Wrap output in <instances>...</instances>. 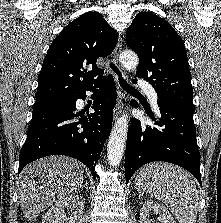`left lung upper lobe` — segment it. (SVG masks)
Wrapping results in <instances>:
<instances>
[{
    "label": "left lung upper lobe",
    "instance_id": "left-lung-upper-lobe-1",
    "mask_svg": "<svg viewBox=\"0 0 221 223\" xmlns=\"http://www.w3.org/2000/svg\"><path fill=\"white\" fill-rule=\"evenodd\" d=\"M126 44L139 57L136 76L154 87L158 99L194 108L185 46L167 21L151 12L138 13L126 32Z\"/></svg>",
    "mask_w": 221,
    "mask_h": 223
}]
</instances>
